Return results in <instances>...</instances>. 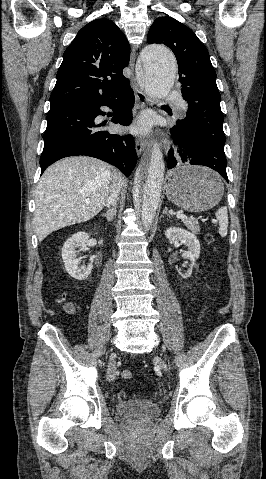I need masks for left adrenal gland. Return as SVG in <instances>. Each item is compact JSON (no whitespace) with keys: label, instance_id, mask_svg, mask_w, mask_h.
Instances as JSON below:
<instances>
[{"label":"left adrenal gland","instance_id":"obj_1","mask_svg":"<svg viewBox=\"0 0 266 479\" xmlns=\"http://www.w3.org/2000/svg\"><path fill=\"white\" fill-rule=\"evenodd\" d=\"M163 214H166L169 218H171L170 214L168 213L167 211V207L165 206L164 210H163Z\"/></svg>","mask_w":266,"mask_h":479}]
</instances>
